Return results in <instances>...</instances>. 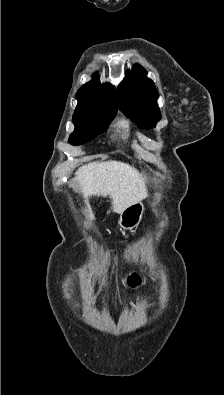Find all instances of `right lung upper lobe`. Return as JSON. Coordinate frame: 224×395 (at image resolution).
Returning a JSON list of instances; mask_svg holds the SVG:
<instances>
[{"label":"right lung upper lobe","mask_w":224,"mask_h":395,"mask_svg":"<svg viewBox=\"0 0 224 395\" xmlns=\"http://www.w3.org/2000/svg\"><path fill=\"white\" fill-rule=\"evenodd\" d=\"M76 99L95 107L117 110L114 87L110 83L101 85L96 78L79 89Z\"/></svg>","instance_id":"right-lung-upper-lobe-1"}]
</instances>
